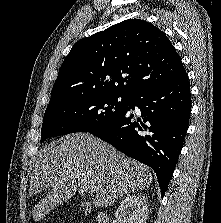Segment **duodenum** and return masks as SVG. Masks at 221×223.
<instances>
[{"label":"duodenum","instance_id":"410a0bca","mask_svg":"<svg viewBox=\"0 0 221 223\" xmlns=\"http://www.w3.org/2000/svg\"><path fill=\"white\" fill-rule=\"evenodd\" d=\"M99 221H100V223H109L110 218L106 212H101L99 214Z\"/></svg>","mask_w":221,"mask_h":223}]
</instances>
